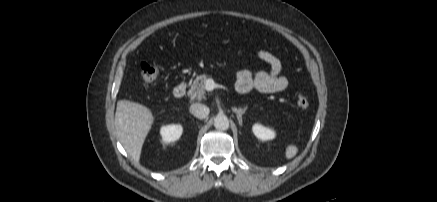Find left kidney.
Masks as SVG:
<instances>
[{"label":"left kidney","instance_id":"1","mask_svg":"<svg viewBox=\"0 0 437 202\" xmlns=\"http://www.w3.org/2000/svg\"><path fill=\"white\" fill-rule=\"evenodd\" d=\"M252 131L254 135L262 141H267L275 138V132L272 129L264 127L259 123L253 125Z\"/></svg>","mask_w":437,"mask_h":202}]
</instances>
